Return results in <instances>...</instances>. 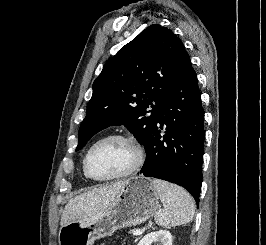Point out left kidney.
<instances>
[{
    "mask_svg": "<svg viewBox=\"0 0 266 245\" xmlns=\"http://www.w3.org/2000/svg\"><path fill=\"white\" fill-rule=\"evenodd\" d=\"M172 245V235L169 231H155V233H148L145 235L138 245Z\"/></svg>",
    "mask_w": 266,
    "mask_h": 245,
    "instance_id": "1",
    "label": "left kidney"
}]
</instances>
